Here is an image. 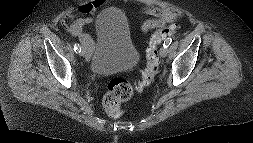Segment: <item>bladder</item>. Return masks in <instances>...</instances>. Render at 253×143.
<instances>
[{
    "label": "bladder",
    "instance_id": "1",
    "mask_svg": "<svg viewBox=\"0 0 253 143\" xmlns=\"http://www.w3.org/2000/svg\"><path fill=\"white\" fill-rule=\"evenodd\" d=\"M95 47L88 60L90 71L108 75L132 68L140 50L133 42L125 12L119 7L103 9L95 19Z\"/></svg>",
    "mask_w": 253,
    "mask_h": 143
}]
</instances>
